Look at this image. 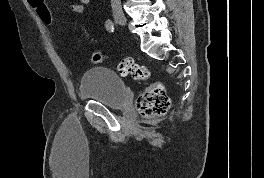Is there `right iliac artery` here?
<instances>
[{"label": "right iliac artery", "mask_w": 264, "mask_h": 178, "mask_svg": "<svg viewBox=\"0 0 264 178\" xmlns=\"http://www.w3.org/2000/svg\"><path fill=\"white\" fill-rule=\"evenodd\" d=\"M105 27H106L107 31L114 32L115 26H114V23L110 19H108L106 21Z\"/></svg>", "instance_id": "82829eb1"}]
</instances>
